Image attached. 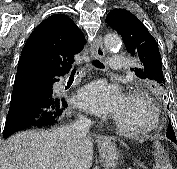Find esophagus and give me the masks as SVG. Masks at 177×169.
Instances as JSON below:
<instances>
[{
    "label": "esophagus",
    "mask_w": 177,
    "mask_h": 169,
    "mask_svg": "<svg viewBox=\"0 0 177 169\" xmlns=\"http://www.w3.org/2000/svg\"><path fill=\"white\" fill-rule=\"evenodd\" d=\"M91 55L93 59H103L105 57V49L102 42V37L98 36L91 45ZM102 139L107 140V136H102Z\"/></svg>",
    "instance_id": "1"
}]
</instances>
